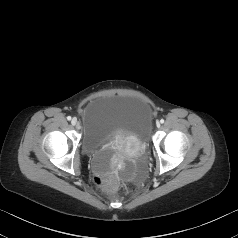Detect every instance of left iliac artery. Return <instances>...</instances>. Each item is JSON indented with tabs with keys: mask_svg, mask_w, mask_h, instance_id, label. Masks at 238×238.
<instances>
[{
	"mask_svg": "<svg viewBox=\"0 0 238 238\" xmlns=\"http://www.w3.org/2000/svg\"><path fill=\"white\" fill-rule=\"evenodd\" d=\"M160 122L163 124L164 123V119H161Z\"/></svg>",
	"mask_w": 238,
	"mask_h": 238,
	"instance_id": "44dca946",
	"label": "left iliac artery"
}]
</instances>
